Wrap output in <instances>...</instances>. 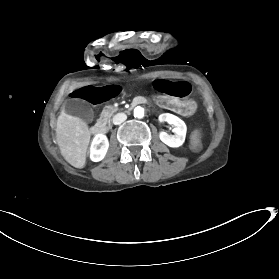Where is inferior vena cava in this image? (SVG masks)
<instances>
[{"label":"inferior vena cava","instance_id":"602c4592","mask_svg":"<svg viewBox=\"0 0 279 279\" xmlns=\"http://www.w3.org/2000/svg\"><path fill=\"white\" fill-rule=\"evenodd\" d=\"M127 116L123 113H119L116 116H114L113 118V123L115 125H120L122 122H124L126 120Z\"/></svg>","mask_w":279,"mask_h":279}]
</instances>
